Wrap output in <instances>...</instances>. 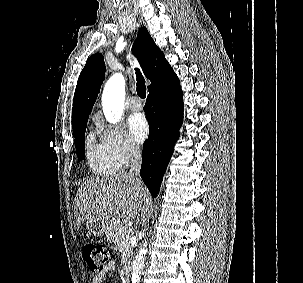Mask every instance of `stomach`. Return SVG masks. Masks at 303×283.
<instances>
[{"label":"stomach","instance_id":"0dacf381","mask_svg":"<svg viewBox=\"0 0 303 283\" xmlns=\"http://www.w3.org/2000/svg\"><path fill=\"white\" fill-rule=\"evenodd\" d=\"M112 224V220L98 219L86 221L85 225L88 230V234L99 237L107 234L110 231Z\"/></svg>","mask_w":303,"mask_h":283}]
</instances>
